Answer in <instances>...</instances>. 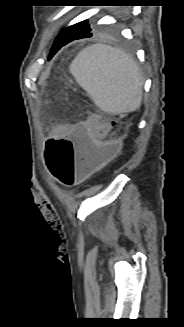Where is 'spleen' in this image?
Listing matches in <instances>:
<instances>
[{
  "label": "spleen",
  "mask_w": 184,
  "mask_h": 327,
  "mask_svg": "<svg viewBox=\"0 0 184 327\" xmlns=\"http://www.w3.org/2000/svg\"><path fill=\"white\" fill-rule=\"evenodd\" d=\"M70 73L104 112L126 113L141 105V72L121 49L103 44L86 47L72 61Z\"/></svg>",
  "instance_id": "3e777b00"
}]
</instances>
